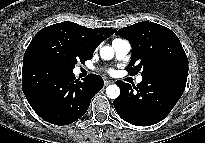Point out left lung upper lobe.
I'll use <instances>...</instances> for the list:
<instances>
[{
	"instance_id": "left-lung-upper-lobe-1",
	"label": "left lung upper lobe",
	"mask_w": 205,
	"mask_h": 143,
	"mask_svg": "<svg viewBox=\"0 0 205 143\" xmlns=\"http://www.w3.org/2000/svg\"><path fill=\"white\" fill-rule=\"evenodd\" d=\"M116 34L131 43V61L126 69L130 74L141 71L143 77L159 69L188 68V59L178 37L162 25L143 21L121 28Z\"/></svg>"
}]
</instances>
